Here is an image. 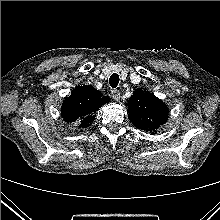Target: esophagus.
<instances>
[{
	"instance_id": "34e87169",
	"label": "esophagus",
	"mask_w": 220,
	"mask_h": 220,
	"mask_svg": "<svg viewBox=\"0 0 220 220\" xmlns=\"http://www.w3.org/2000/svg\"><path fill=\"white\" fill-rule=\"evenodd\" d=\"M112 97L114 100L118 101L120 99V92L119 90H112L111 91Z\"/></svg>"
}]
</instances>
